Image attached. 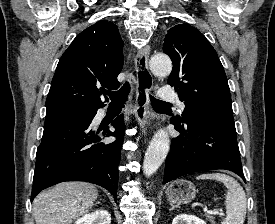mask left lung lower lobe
<instances>
[{"instance_id": "left-lung-lower-lobe-1", "label": "left lung lower lobe", "mask_w": 275, "mask_h": 224, "mask_svg": "<svg viewBox=\"0 0 275 224\" xmlns=\"http://www.w3.org/2000/svg\"><path fill=\"white\" fill-rule=\"evenodd\" d=\"M171 124L180 135L172 139L163 183L215 169L233 171L245 181L234 123L199 117L187 123L172 119Z\"/></svg>"}]
</instances>
